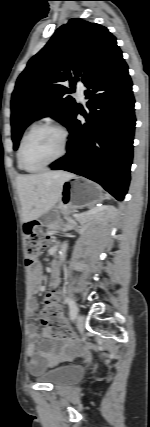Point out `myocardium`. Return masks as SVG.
I'll return each instance as SVG.
<instances>
[{
	"mask_svg": "<svg viewBox=\"0 0 150 427\" xmlns=\"http://www.w3.org/2000/svg\"><path fill=\"white\" fill-rule=\"evenodd\" d=\"M42 129H50V130H54L56 132L59 133L60 138H61V149L59 154L52 159L51 161L47 162L46 164L42 165L39 168L36 169H29L25 166L24 164V151H25V147L27 142L29 141V139L31 138V136L36 133L39 130ZM67 147H68V135L66 130L56 124H52V123H41V124H37L35 126H33L28 133L26 134V136L24 137L21 146H20V150H19V162L20 165L22 167L23 170L27 171V172H40L44 169H46L47 167L51 166L52 164L56 163L57 161H59L61 158H63L67 152Z\"/></svg>",
	"mask_w": 150,
	"mask_h": 427,
	"instance_id": "1",
	"label": "myocardium"
}]
</instances>
